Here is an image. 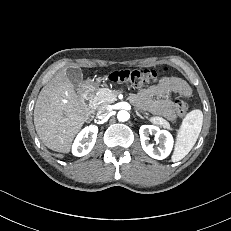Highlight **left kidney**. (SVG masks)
Wrapping results in <instances>:
<instances>
[{
    "label": "left kidney",
    "mask_w": 231,
    "mask_h": 231,
    "mask_svg": "<svg viewBox=\"0 0 231 231\" xmlns=\"http://www.w3.org/2000/svg\"><path fill=\"white\" fill-rule=\"evenodd\" d=\"M141 146L143 150L152 158L162 160L168 157L172 151L174 140L170 132L160 130L154 125H142L139 129ZM149 134H155V141L160 143L156 148L149 144Z\"/></svg>",
    "instance_id": "1"
}]
</instances>
